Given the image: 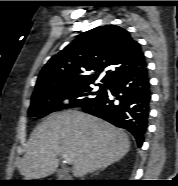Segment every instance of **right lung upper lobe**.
Instances as JSON below:
<instances>
[{"label": "right lung upper lobe", "instance_id": "cb5924a9", "mask_svg": "<svg viewBox=\"0 0 178 186\" xmlns=\"http://www.w3.org/2000/svg\"><path fill=\"white\" fill-rule=\"evenodd\" d=\"M145 62L141 46L123 28L100 26L81 33L54 55L42 68L35 91L72 88L93 84L106 67L101 80L108 84L122 72Z\"/></svg>", "mask_w": 178, "mask_h": 186}]
</instances>
